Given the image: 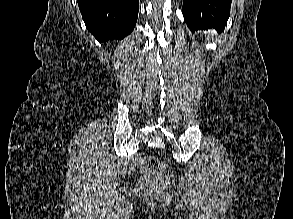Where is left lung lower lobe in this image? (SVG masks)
<instances>
[{
  "mask_svg": "<svg viewBox=\"0 0 293 219\" xmlns=\"http://www.w3.org/2000/svg\"><path fill=\"white\" fill-rule=\"evenodd\" d=\"M232 0H183L182 13L192 30L215 28L222 31L230 16Z\"/></svg>",
  "mask_w": 293,
  "mask_h": 219,
  "instance_id": "0a47b994",
  "label": "left lung lower lobe"
}]
</instances>
